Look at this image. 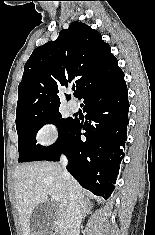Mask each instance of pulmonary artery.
Listing matches in <instances>:
<instances>
[{
    "label": "pulmonary artery",
    "instance_id": "e3ab8cb5",
    "mask_svg": "<svg viewBox=\"0 0 155 235\" xmlns=\"http://www.w3.org/2000/svg\"><path fill=\"white\" fill-rule=\"evenodd\" d=\"M69 109L71 111H76L78 109V103L75 99H70L68 102Z\"/></svg>",
    "mask_w": 155,
    "mask_h": 235
}]
</instances>
